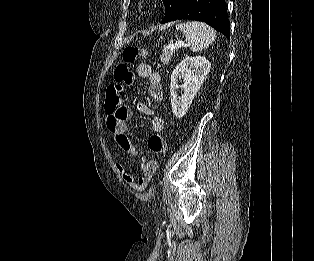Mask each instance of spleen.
<instances>
[{
	"instance_id": "spleen-1",
	"label": "spleen",
	"mask_w": 314,
	"mask_h": 261,
	"mask_svg": "<svg viewBox=\"0 0 314 261\" xmlns=\"http://www.w3.org/2000/svg\"><path fill=\"white\" fill-rule=\"evenodd\" d=\"M180 30L193 52L201 51L211 45L216 39V32L209 25L192 21L176 25Z\"/></svg>"
}]
</instances>
